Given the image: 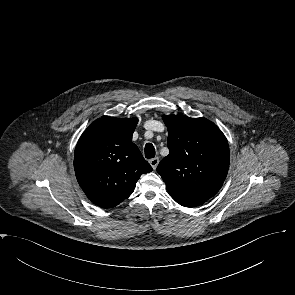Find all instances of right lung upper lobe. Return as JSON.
Instances as JSON below:
<instances>
[{
	"instance_id": "obj_1",
	"label": "right lung upper lobe",
	"mask_w": 295,
	"mask_h": 295,
	"mask_svg": "<svg viewBox=\"0 0 295 295\" xmlns=\"http://www.w3.org/2000/svg\"><path fill=\"white\" fill-rule=\"evenodd\" d=\"M137 122V118L102 116L77 143V181L89 200L99 207L117 206L132 194L140 176L152 171L132 142Z\"/></svg>"
}]
</instances>
